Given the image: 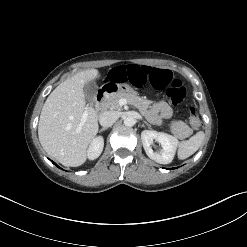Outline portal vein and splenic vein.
I'll list each match as a JSON object with an SVG mask.
<instances>
[{"instance_id":"portal-vein-and-splenic-vein-1","label":"portal vein and splenic vein","mask_w":247,"mask_h":247,"mask_svg":"<svg viewBox=\"0 0 247 247\" xmlns=\"http://www.w3.org/2000/svg\"><path fill=\"white\" fill-rule=\"evenodd\" d=\"M121 104H122V105L126 104V100H121ZM87 116H88V113H87V111H85V112L83 113V115H82V119H81V122H82V123H84V122L86 121Z\"/></svg>"}]
</instances>
